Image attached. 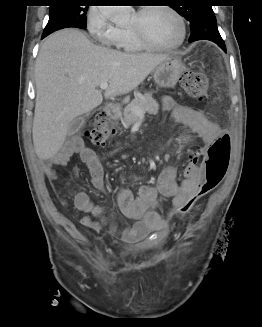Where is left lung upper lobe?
<instances>
[{
    "instance_id": "1",
    "label": "left lung upper lobe",
    "mask_w": 262,
    "mask_h": 327,
    "mask_svg": "<svg viewBox=\"0 0 262 327\" xmlns=\"http://www.w3.org/2000/svg\"><path fill=\"white\" fill-rule=\"evenodd\" d=\"M202 4L178 6L173 5V8L191 24V31L197 28H207L216 23V18L212 10V6L206 4L207 1H199Z\"/></svg>"
}]
</instances>
